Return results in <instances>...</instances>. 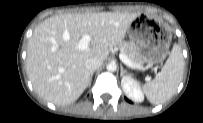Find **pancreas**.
Instances as JSON below:
<instances>
[{
  "label": "pancreas",
  "instance_id": "pancreas-1",
  "mask_svg": "<svg viewBox=\"0 0 203 123\" xmlns=\"http://www.w3.org/2000/svg\"><path fill=\"white\" fill-rule=\"evenodd\" d=\"M119 48L123 54H125L134 63H141L138 53L131 43H121Z\"/></svg>",
  "mask_w": 203,
  "mask_h": 123
}]
</instances>
